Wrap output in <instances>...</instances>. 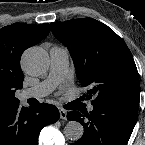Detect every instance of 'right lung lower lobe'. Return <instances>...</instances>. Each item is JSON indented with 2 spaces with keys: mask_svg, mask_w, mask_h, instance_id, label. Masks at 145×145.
<instances>
[{
  "mask_svg": "<svg viewBox=\"0 0 145 145\" xmlns=\"http://www.w3.org/2000/svg\"><path fill=\"white\" fill-rule=\"evenodd\" d=\"M59 111L54 105L42 103L30 108L19 102L0 108V145H37L41 129L55 123Z\"/></svg>",
  "mask_w": 145,
  "mask_h": 145,
  "instance_id": "right-lung-lower-lobe-1",
  "label": "right lung lower lobe"
}]
</instances>
